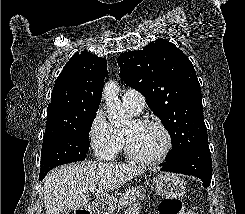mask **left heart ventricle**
Returning a JSON list of instances; mask_svg holds the SVG:
<instances>
[{"mask_svg":"<svg viewBox=\"0 0 245 214\" xmlns=\"http://www.w3.org/2000/svg\"><path fill=\"white\" fill-rule=\"evenodd\" d=\"M123 133L130 140L134 150L143 157H155L165 147V136L156 126H137L131 122Z\"/></svg>","mask_w":245,"mask_h":214,"instance_id":"b2bd125f","label":"left heart ventricle"}]
</instances>
